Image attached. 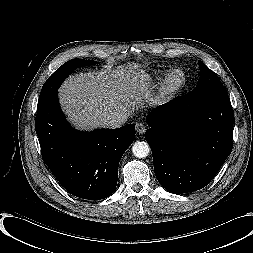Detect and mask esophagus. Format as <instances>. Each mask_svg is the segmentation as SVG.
I'll return each mask as SVG.
<instances>
[{"mask_svg":"<svg viewBox=\"0 0 253 253\" xmlns=\"http://www.w3.org/2000/svg\"><path fill=\"white\" fill-rule=\"evenodd\" d=\"M135 128L139 134H143L146 130V127L142 123H137Z\"/></svg>","mask_w":253,"mask_h":253,"instance_id":"1","label":"esophagus"}]
</instances>
